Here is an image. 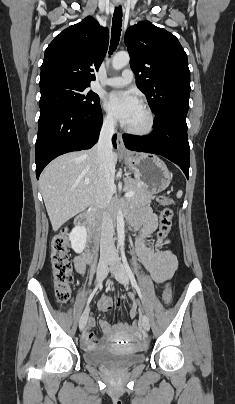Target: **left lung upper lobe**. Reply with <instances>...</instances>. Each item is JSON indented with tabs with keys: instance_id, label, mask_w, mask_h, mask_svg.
Segmentation results:
<instances>
[{
	"instance_id": "1",
	"label": "left lung upper lobe",
	"mask_w": 235,
	"mask_h": 404,
	"mask_svg": "<svg viewBox=\"0 0 235 404\" xmlns=\"http://www.w3.org/2000/svg\"><path fill=\"white\" fill-rule=\"evenodd\" d=\"M124 39L137 87L146 95L155 120L170 114L186 116L190 71L178 39L149 21L129 27Z\"/></svg>"
}]
</instances>
